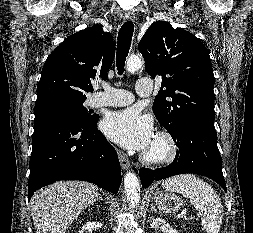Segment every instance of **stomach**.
<instances>
[{
    "label": "stomach",
    "instance_id": "obj_1",
    "mask_svg": "<svg viewBox=\"0 0 253 233\" xmlns=\"http://www.w3.org/2000/svg\"><path fill=\"white\" fill-rule=\"evenodd\" d=\"M153 200L163 213H174L179 210L182 202L180 198L169 190H157L154 194Z\"/></svg>",
    "mask_w": 253,
    "mask_h": 233
}]
</instances>
